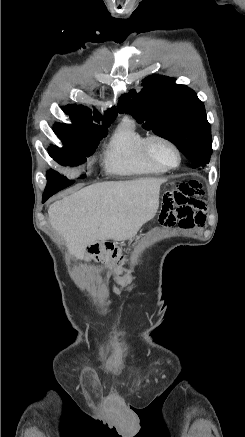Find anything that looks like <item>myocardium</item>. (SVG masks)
<instances>
[{"label":"myocardium","instance_id":"obj_1","mask_svg":"<svg viewBox=\"0 0 245 437\" xmlns=\"http://www.w3.org/2000/svg\"><path fill=\"white\" fill-rule=\"evenodd\" d=\"M156 142H160V143H164L166 145H168L169 147H171L176 155H177V163L175 165H168L164 162H162L159 158H157L155 156V154L152 151V145ZM142 149L143 152L145 154V156L154 164L166 169V170H171V169H175L177 168L182 160V153L180 148L177 146L176 143H174L171 139L163 136V135H159V134H152L149 135L147 137H145L143 144H142Z\"/></svg>","mask_w":245,"mask_h":437}]
</instances>
